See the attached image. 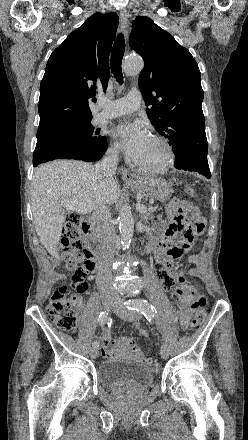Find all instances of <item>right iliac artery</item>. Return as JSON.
<instances>
[{"label":"right iliac artery","mask_w":248,"mask_h":440,"mask_svg":"<svg viewBox=\"0 0 248 440\" xmlns=\"http://www.w3.org/2000/svg\"><path fill=\"white\" fill-rule=\"evenodd\" d=\"M109 321L108 313L106 311H102L99 314L98 322L100 326H104ZM99 343L97 341L93 342V348H98Z\"/></svg>","instance_id":"right-iliac-artery-1"}]
</instances>
